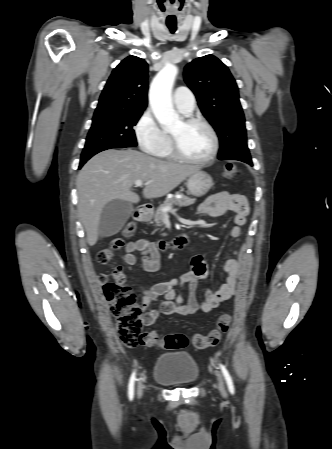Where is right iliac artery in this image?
<instances>
[{"label":"right iliac artery","mask_w":332,"mask_h":449,"mask_svg":"<svg viewBox=\"0 0 332 449\" xmlns=\"http://www.w3.org/2000/svg\"><path fill=\"white\" fill-rule=\"evenodd\" d=\"M135 379H136V372L134 371L130 377L129 384H128V396H129L130 400H132L134 397Z\"/></svg>","instance_id":"obj_1"}]
</instances>
